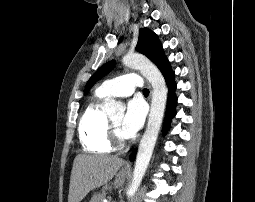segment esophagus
<instances>
[{"instance_id": "esophagus-1", "label": "esophagus", "mask_w": 255, "mask_h": 202, "mask_svg": "<svg viewBox=\"0 0 255 202\" xmlns=\"http://www.w3.org/2000/svg\"><path fill=\"white\" fill-rule=\"evenodd\" d=\"M126 167L129 168V167H130V164L128 163V164L126 165Z\"/></svg>"}]
</instances>
